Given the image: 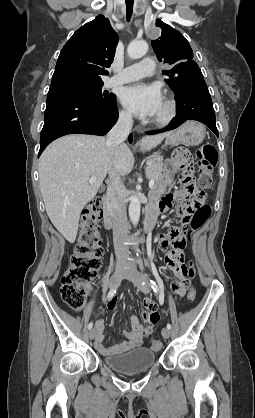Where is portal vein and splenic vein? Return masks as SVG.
<instances>
[{"label":"portal vein and splenic vein","instance_id":"18ae733b","mask_svg":"<svg viewBox=\"0 0 255 418\" xmlns=\"http://www.w3.org/2000/svg\"><path fill=\"white\" fill-rule=\"evenodd\" d=\"M95 181H96V177H95V176L91 177V178H90V180H89V182H90V183H93V182H95ZM154 183H155L154 179H151V180L149 181V188H153Z\"/></svg>","mask_w":255,"mask_h":418}]
</instances>
